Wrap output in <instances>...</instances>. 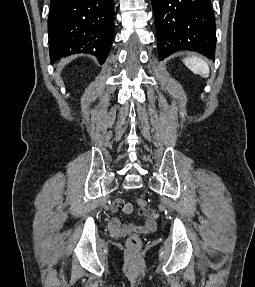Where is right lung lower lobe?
<instances>
[{
    "label": "right lung lower lobe",
    "mask_w": 255,
    "mask_h": 287,
    "mask_svg": "<svg viewBox=\"0 0 255 287\" xmlns=\"http://www.w3.org/2000/svg\"><path fill=\"white\" fill-rule=\"evenodd\" d=\"M48 35L51 62L89 53L103 64L114 36V0H51Z\"/></svg>",
    "instance_id": "98d812e1"
}]
</instances>
